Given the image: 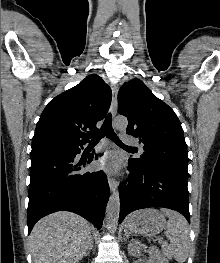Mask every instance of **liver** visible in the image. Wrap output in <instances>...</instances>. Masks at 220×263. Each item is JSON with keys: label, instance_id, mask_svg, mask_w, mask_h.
I'll list each match as a JSON object with an SVG mask.
<instances>
[{"label": "liver", "instance_id": "6515ba94", "mask_svg": "<svg viewBox=\"0 0 220 263\" xmlns=\"http://www.w3.org/2000/svg\"><path fill=\"white\" fill-rule=\"evenodd\" d=\"M92 229L87 220L72 212L42 218L29 238L34 263H78L89 248Z\"/></svg>", "mask_w": 220, "mask_h": 263}]
</instances>
